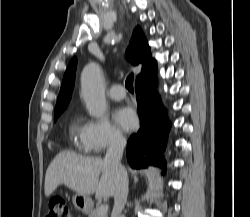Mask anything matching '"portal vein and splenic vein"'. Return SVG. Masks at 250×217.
<instances>
[{
  "label": "portal vein and splenic vein",
  "mask_w": 250,
  "mask_h": 217,
  "mask_svg": "<svg viewBox=\"0 0 250 217\" xmlns=\"http://www.w3.org/2000/svg\"><path fill=\"white\" fill-rule=\"evenodd\" d=\"M107 211H108V205H107V204L101 205V206L99 207V210H98V212H99L100 214L107 213Z\"/></svg>",
  "instance_id": "portal-vein-and-splenic-vein-1"
}]
</instances>
